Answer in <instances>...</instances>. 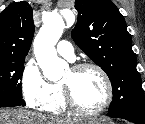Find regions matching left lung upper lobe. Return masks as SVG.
<instances>
[{
    "instance_id": "left-lung-upper-lobe-1",
    "label": "left lung upper lobe",
    "mask_w": 145,
    "mask_h": 124,
    "mask_svg": "<svg viewBox=\"0 0 145 124\" xmlns=\"http://www.w3.org/2000/svg\"><path fill=\"white\" fill-rule=\"evenodd\" d=\"M74 42L110 78L113 101L109 113L145 115V96L136 69V55L124 17L110 0H76Z\"/></svg>"
}]
</instances>
